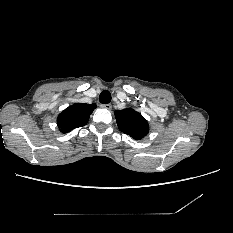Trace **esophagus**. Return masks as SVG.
I'll return each instance as SVG.
<instances>
[{"label": "esophagus", "mask_w": 233, "mask_h": 233, "mask_svg": "<svg viewBox=\"0 0 233 233\" xmlns=\"http://www.w3.org/2000/svg\"><path fill=\"white\" fill-rule=\"evenodd\" d=\"M101 107L107 110H110L112 108L111 104H101Z\"/></svg>", "instance_id": "1"}]
</instances>
